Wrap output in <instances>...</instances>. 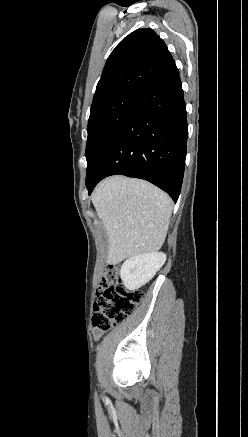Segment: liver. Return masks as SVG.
Returning a JSON list of instances; mask_svg holds the SVG:
<instances>
[{
	"mask_svg": "<svg viewBox=\"0 0 248 437\" xmlns=\"http://www.w3.org/2000/svg\"><path fill=\"white\" fill-rule=\"evenodd\" d=\"M91 200L108 236V262L154 253L163 245L173 203L156 186L113 176L96 186Z\"/></svg>",
	"mask_w": 248,
	"mask_h": 437,
	"instance_id": "liver-1",
	"label": "liver"
}]
</instances>
